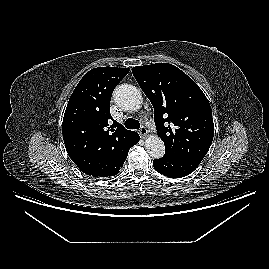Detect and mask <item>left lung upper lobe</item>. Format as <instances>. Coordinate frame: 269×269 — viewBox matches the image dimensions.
I'll return each instance as SVG.
<instances>
[{
    "label": "left lung upper lobe",
    "mask_w": 269,
    "mask_h": 269,
    "mask_svg": "<svg viewBox=\"0 0 269 269\" xmlns=\"http://www.w3.org/2000/svg\"><path fill=\"white\" fill-rule=\"evenodd\" d=\"M132 72L153 105L165 155L201 161L212 143L214 123L210 104L199 86L168 63L133 67Z\"/></svg>",
    "instance_id": "5c2ea615"
}]
</instances>
